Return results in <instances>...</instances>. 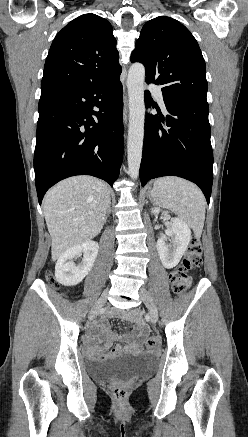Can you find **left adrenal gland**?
Instances as JSON below:
<instances>
[{
  "mask_svg": "<svg viewBox=\"0 0 248 437\" xmlns=\"http://www.w3.org/2000/svg\"><path fill=\"white\" fill-rule=\"evenodd\" d=\"M147 195H148L149 199L151 200V197H150V191L148 192V194H147Z\"/></svg>",
  "mask_w": 248,
  "mask_h": 437,
  "instance_id": "1",
  "label": "left adrenal gland"
}]
</instances>
